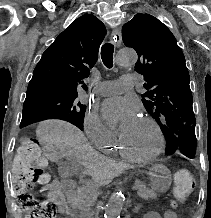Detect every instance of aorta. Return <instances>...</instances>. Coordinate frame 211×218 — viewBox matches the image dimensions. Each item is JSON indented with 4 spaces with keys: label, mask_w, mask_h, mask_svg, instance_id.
I'll return each instance as SVG.
<instances>
[{
    "label": "aorta",
    "mask_w": 211,
    "mask_h": 218,
    "mask_svg": "<svg viewBox=\"0 0 211 218\" xmlns=\"http://www.w3.org/2000/svg\"><path fill=\"white\" fill-rule=\"evenodd\" d=\"M115 61L120 66H130L136 63L137 54L134 50H120L115 58ZM114 120L111 121L110 126H113ZM124 197L121 194L113 193L105 209V218H120V213L124 204Z\"/></svg>",
    "instance_id": "1"
}]
</instances>
